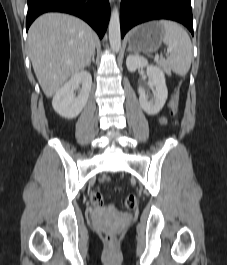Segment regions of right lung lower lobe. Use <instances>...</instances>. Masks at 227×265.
Masks as SVG:
<instances>
[{"mask_svg":"<svg viewBox=\"0 0 227 265\" xmlns=\"http://www.w3.org/2000/svg\"><path fill=\"white\" fill-rule=\"evenodd\" d=\"M64 12L85 20L102 38L110 17L108 0H28L26 30L45 12Z\"/></svg>","mask_w":227,"mask_h":265,"instance_id":"obj_1","label":"right lung lower lobe"}]
</instances>
